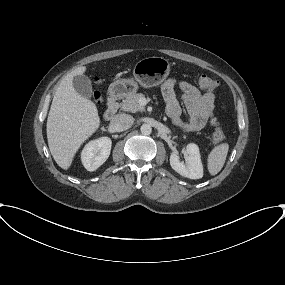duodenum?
<instances>
[{"instance_id": "duodenum-1", "label": "duodenum", "mask_w": 285, "mask_h": 285, "mask_svg": "<svg viewBox=\"0 0 285 285\" xmlns=\"http://www.w3.org/2000/svg\"><path fill=\"white\" fill-rule=\"evenodd\" d=\"M118 110V101L117 97L114 93H111L108 97L106 109L104 111V119L109 121L113 119L115 114L117 113Z\"/></svg>"}]
</instances>
